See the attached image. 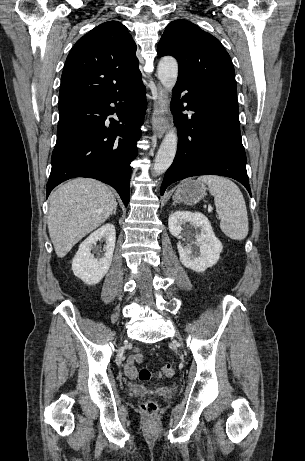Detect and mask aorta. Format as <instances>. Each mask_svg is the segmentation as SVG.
<instances>
[{
    "mask_svg": "<svg viewBox=\"0 0 305 461\" xmlns=\"http://www.w3.org/2000/svg\"><path fill=\"white\" fill-rule=\"evenodd\" d=\"M178 77V63L175 58L163 57L158 64V79L161 84L171 91ZM178 137L175 128H171L165 135L159 150L157 152L153 174L160 175L164 173L172 164L176 150Z\"/></svg>",
    "mask_w": 305,
    "mask_h": 461,
    "instance_id": "aorta-1",
    "label": "aorta"
}]
</instances>
